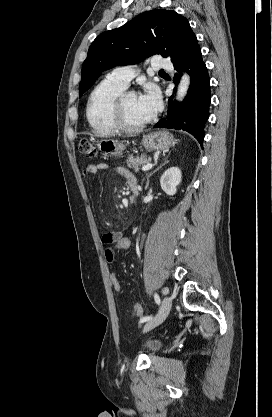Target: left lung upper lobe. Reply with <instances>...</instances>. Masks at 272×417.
Segmentation results:
<instances>
[{"mask_svg":"<svg viewBox=\"0 0 272 417\" xmlns=\"http://www.w3.org/2000/svg\"><path fill=\"white\" fill-rule=\"evenodd\" d=\"M199 47L188 20L175 11H146L125 25L99 35L91 44L82 67L79 95L104 70L138 63L154 54L170 57L173 64Z\"/></svg>","mask_w":272,"mask_h":417,"instance_id":"5c2ea615","label":"left lung upper lobe"}]
</instances>
